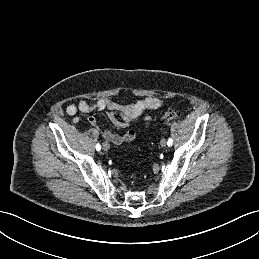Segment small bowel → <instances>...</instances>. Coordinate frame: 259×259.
<instances>
[{"mask_svg": "<svg viewBox=\"0 0 259 259\" xmlns=\"http://www.w3.org/2000/svg\"><path fill=\"white\" fill-rule=\"evenodd\" d=\"M162 105L163 102L156 97H147L130 104H121L109 98H101L92 103L81 100L77 104L68 105L66 112L72 116V121L77 123L79 121V117L77 116L78 112L90 113L93 111H108L110 120L118 128L126 129L140 117L143 119L144 126L148 127L151 122L149 112L159 109ZM118 117H120V119ZM88 122L92 126L97 127L107 141L115 145L129 143L133 141L136 136L135 131L132 129H127L121 134L114 133L104 128L99 120L93 116L88 118Z\"/></svg>", "mask_w": 259, "mask_h": 259, "instance_id": "small-bowel-1", "label": "small bowel"}]
</instances>
